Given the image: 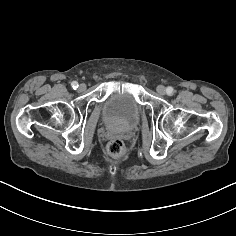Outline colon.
Listing matches in <instances>:
<instances>
[{
	"label": "colon",
	"instance_id": "colon-1",
	"mask_svg": "<svg viewBox=\"0 0 236 236\" xmlns=\"http://www.w3.org/2000/svg\"><path fill=\"white\" fill-rule=\"evenodd\" d=\"M108 151L113 156H122L125 153V145L120 139H113L108 144Z\"/></svg>",
	"mask_w": 236,
	"mask_h": 236
}]
</instances>
